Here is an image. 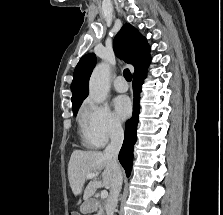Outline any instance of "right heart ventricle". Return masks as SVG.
Listing matches in <instances>:
<instances>
[{"label":"right heart ventricle","mask_w":223,"mask_h":215,"mask_svg":"<svg viewBox=\"0 0 223 215\" xmlns=\"http://www.w3.org/2000/svg\"><path fill=\"white\" fill-rule=\"evenodd\" d=\"M81 135L85 143L91 146L97 145V143L90 137L88 132L84 129V127L81 125Z\"/></svg>","instance_id":"1"}]
</instances>
